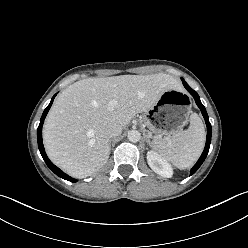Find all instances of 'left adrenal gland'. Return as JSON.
<instances>
[{
  "instance_id": "a2214340",
  "label": "left adrenal gland",
  "mask_w": 248,
  "mask_h": 248,
  "mask_svg": "<svg viewBox=\"0 0 248 248\" xmlns=\"http://www.w3.org/2000/svg\"><path fill=\"white\" fill-rule=\"evenodd\" d=\"M146 142L149 144V145H151V142H150V139H149V137L146 135Z\"/></svg>"
}]
</instances>
